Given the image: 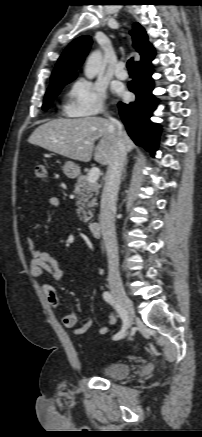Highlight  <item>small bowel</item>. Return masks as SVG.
Returning <instances> with one entry per match:
<instances>
[{
	"label": "small bowel",
	"instance_id": "obj_1",
	"mask_svg": "<svg viewBox=\"0 0 202 437\" xmlns=\"http://www.w3.org/2000/svg\"><path fill=\"white\" fill-rule=\"evenodd\" d=\"M48 204L53 208H57L60 205V201L57 197H50L48 199ZM27 245L32 257L29 265L30 274L32 275V277L40 280L42 279L44 273L47 272L51 275L52 279L55 282L61 281L63 277V271L61 270L58 261L49 253L38 249L35 245L34 240L31 237H27ZM41 287L50 304L55 307L59 306L60 301L56 289L52 285L46 283H43ZM77 320L78 319L76 313L71 311L64 312L61 315V321L63 325L67 328L75 327ZM107 322L110 325L115 324L116 316L114 313H109L107 317ZM91 326L92 320L88 318L82 326L75 328L73 333L75 335H82L87 332ZM107 332V326L104 325L99 328V334L105 335L107 334Z\"/></svg>",
	"mask_w": 202,
	"mask_h": 437
}]
</instances>
